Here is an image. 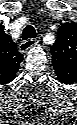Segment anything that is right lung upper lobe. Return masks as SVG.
<instances>
[{"label": "right lung upper lobe", "mask_w": 77, "mask_h": 125, "mask_svg": "<svg viewBox=\"0 0 77 125\" xmlns=\"http://www.w3.org/2000/svg\"><path fill=\"white\" fill-rule=\"evenodd\" d=\"M23 55L17 50L11 37L0 31V84L11 82L19 69Z\"/></svg>", "instance_id": "1"}]
</instances>
